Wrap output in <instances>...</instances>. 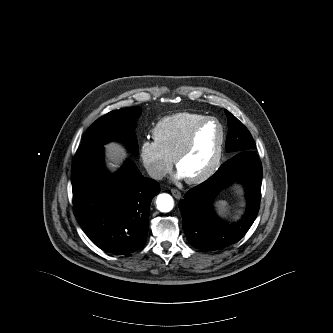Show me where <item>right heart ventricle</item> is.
I'll return each mask as SVG.
<instances>
[{
    "label": "right heart ventricle",
    "instance_id": "e07e8e85",
    "mask_svg": "<svg viewBox=\"0 0 333 333\" xmlns=\"http://www.w3.org/2000/svg\"><path fill=\"white\" fill-rule=\"evenodd\" d=\"M206 117V115L192 112L166 116L152 130L154 142L167 157L174 159L194 126Z\"/></svg>",
    "mask_w": 333,
    "mask_h": 333
}]
</instances>
